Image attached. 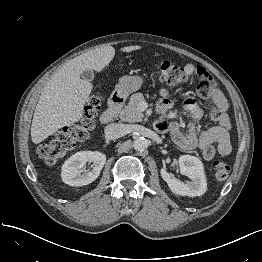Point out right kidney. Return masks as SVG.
<instances>
[{
    "label": "right kidney",
    "instance_id": "right-kidney-1",
    "mask_svg": "<svg viewBox=\"0 0 262 262\" xmlns=\"http://www.w3.org/2000/svg\"><path fill=\"white\" fill-rule=\"evenodd\" d=\"M86 162H93L91 171L84 170ZM106 162V155L98 151H80L72 155L62 165V181L70 186L87 185L100 175Z\"/></svg>",
    "mask_w": 262,
    "mask_h": 262
}]
</instances>
